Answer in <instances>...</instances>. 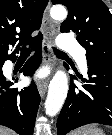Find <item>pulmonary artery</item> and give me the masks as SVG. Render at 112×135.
<instances>
[{"instance_id":"1","label":"pulmonary artery","mask_w":112,"mask_h":135,"mask_svg":"<svg viewBox=\"0 0 112 135\" xmlns=\"http://www.w3.org/2000/svg\"><path fill=\"white\" fill-rule=\"evenodd\" d=\"M58 46L65 52L71 53L76 61L79 63L81 68L87 70L86 56L80 45L75 39L67 34H60L58 38Z\"/></svg>"}]
</instances>
